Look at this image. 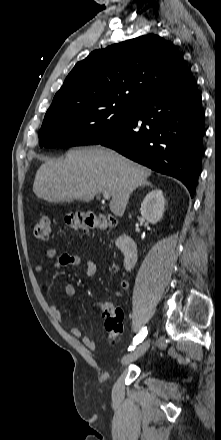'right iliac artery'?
Segmentation results:
<instances>
[{"mask_svg": "<svg viewBox=\"0 0 221 440\" xmlns=\"http://www.w3.org/2000/svg\"><path fill=\"white\" fill-rule=\"evenodd\" d=\"M146 335H147V328L144 327V328H142V330L138 333V335L135 336V338L133 339V344H134V346H133V347H129L128 350H129V351L134 350L135 346H136L137 344H139L140 342H142V341L144 340V338L146 337Z\"/></svg>", "mask_w": 221, "mask_h": 440, "instance_id": "right-iliac-artery-1", "label": "right iliac artery"}]
</instances>
